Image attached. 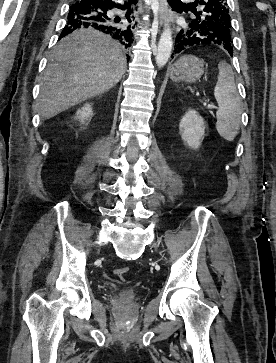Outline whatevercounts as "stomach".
Segmentation results:
<instances>
[{"mask_svg":"<svg viewBox=\"0 0 276 363\" xmlns=\"http://www.w3.org/2000/svg\"><path fill=\"white\" fill-rule=\"evenodd\" d=\"M204 70L203 60L191 55L183 56L174 63L170 78L175 82L194 83L202 77Z\"/></svg>","mask_w":276,"mask_h":363,"instance_id":"obj_1","label":"stomach"}]
</instances>
